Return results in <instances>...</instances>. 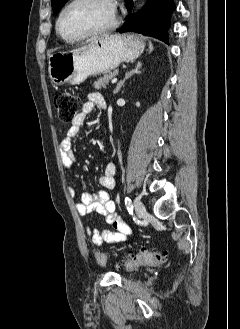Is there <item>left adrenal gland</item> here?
Returning a JSON list of instances; mask_svg holds the SVG:
<instances>
[{
  "label": "left adrenal gland",
  "instance_id": "a2214340",
  "mask_svg": "<svg viewBox=\"0 0 240 329\" xmlns=\"http://www.w3.org/2000/svg\"><path fill=\"white\" fill-rule=\"evenodd\" d=\"M141 67H142V63L138 62L137 65H136V67H135L132 71L127 72L126 75H125V78H124L123 80H121V81L117 84V87H116V89L114 90L113 93H114V94H117V93L120 91L121 87L123 86L124 82H125L128 78H130L133 74H138V73H140V68H141Z\"/></svg>",
  "mask_w": 240,
  "mask_h": 329
}]
</instances>
